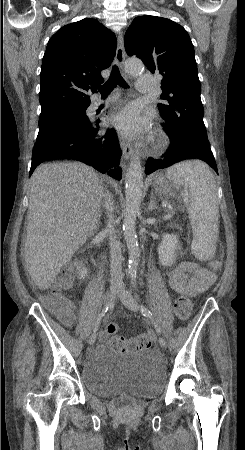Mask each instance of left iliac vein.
I'll use <instances>...</instances> for the list:
<instances>
[{"label": "left iliac vein", "instance_id": "4c4485c4", "mask_svg": "<svg viewBox=\"0 0 245 450\" xmlns=\"http://www.w3.org/2000/svg\"><path fill=\"white\" fill-rule=\"evenodd\" d=\"M118 296L122 301L123 305L127 307L129 310L134 312H137L139 310V306L136 299L133 297L131 292L125 289L124 285L120 286ZM159 345L162 348H166L167 344L163 337H159Z\"/></svg>", "mask_w": 245, "mask_h": 450}]
</instances>
